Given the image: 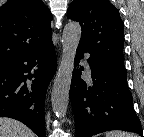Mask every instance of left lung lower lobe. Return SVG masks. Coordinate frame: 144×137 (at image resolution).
<instances>
[{
	"mask_svg": "<svg viewBox=\"0 0 144 137\" xmlns=\"http://www.w3.org/2000/svg\"><path fill=\"white\" fill-rule=\"evenodd\" d=\"M85 52L78 46L69 93L76 137H91L108 130H125L143 136L127 85L126 70L90 55L93 84L89 86L80 77L84 68L76 69Z\"/></svg>",
	"mask_w": 144,
	"mask_h": 137,
	"instance_id": "1",
	"label": "left lung lower lobe"
}]
</instances>
